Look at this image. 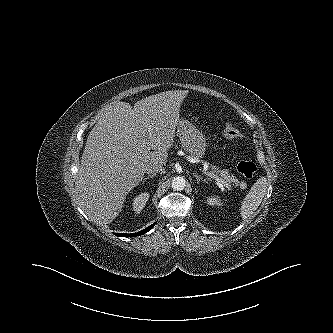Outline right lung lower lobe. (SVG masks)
Instances as JSON below:
<instances>
[{
  "label": "right lung lower lobe",
  "mask_w": 333,
  "mask_h": 333,
  "mask_svg": "<svg viewBox=\"0 0 333 333\" xmlns=\"http://www.w3.org/2000/svg\"><path fill=\"white\" fill-rule=\"evenodd\" d=\"M155 224L147 227L146 229L142 230V231H139L137 233H134V234H124V233H120V234H117L118 236H123V237H135V236H140V235H143L145 234L146 232H148L149 230L152 229V227L154 226Z\"/></svg>",
  "instance_id": "obj_1"
}]
</instances>
